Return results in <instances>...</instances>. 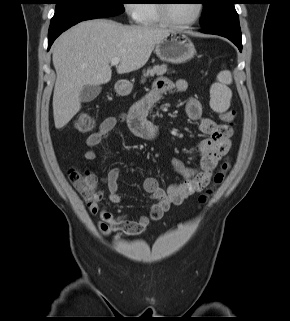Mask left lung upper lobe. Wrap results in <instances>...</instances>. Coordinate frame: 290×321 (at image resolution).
<instances>
[{"mask_svg": "<svg viewBox=\"0 0 290 321\" xmlns=\"http://www.w3.org/2000/svg\"><path fill=\"white\" fill-rule=\"evenodd\" d=\"M203 4V14L201 27H208L223 19L237 13L234 4L237 0H201Z\"/></svg>", "mask_w": 290, "mask_h": 321, "instance_id": "1", "label": "left lung upper lobe"}]
</instances>
